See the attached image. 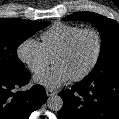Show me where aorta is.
Here are the masks:
<instances>
[{"instance_id":"1","label":"aorta","mask_w":119,"mask_h":119,"mask_svg":"<svg viewBox=\"0 0 119 119\" xmlns=\"http://www.w3.org/2000/svg\"><path fill=\"white\" fill-rule=\"evenodd\" d=\"M47 106L52 111H60L63 106V100L58 95H52L47 99Z\"/></svg>"}]
</instances>
